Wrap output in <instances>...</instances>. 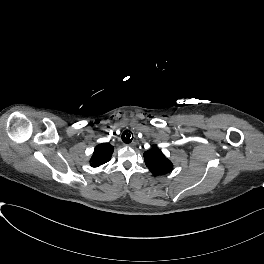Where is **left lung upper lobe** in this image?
Listing matches in <instances>:
<instances>
[{
	"mask_svg": "<svg viewBox=\"0 0 264 264\" xmlns=\"http://www.w3.org/2000/svg\"><path fill=\"white\" fill-rule=\"evenodd\" d=\"M144 161L154 176L167 174L173 169L171 161L156 146L144 153Z\"/></svg>",
	"mask_w": 264,
	"mask_h": 264,
	"instance_id": "5c2ea615",
	"label": "left lung upper lobe"
}]
</instances>
